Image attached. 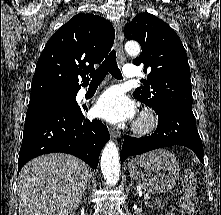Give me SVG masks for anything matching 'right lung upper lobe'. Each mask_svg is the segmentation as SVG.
Wrapping results in <instances>:
<instances>
[{"label": "right lung upper lobe", "instance_id": "obj_1", "mask_svg": "<svg viewBox=\"0 0 221 215\" xmlns=\"http://www.w3.org/2000/svg\"><path fill=\"white\" fill-rule=\"evenodd\" d=\"M114 37L112 24L100 16L80 13L70 19L52 35L38 59L30 101L77 93L89 82L86 75L94 64L110 51Z\"/></svg>", "mask_w": 221, "mask_h": 215}]
</instances>
